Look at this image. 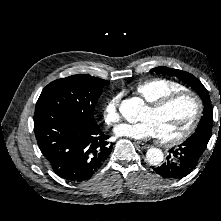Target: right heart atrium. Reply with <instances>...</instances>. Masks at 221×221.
Wrapping results in <instances>:
<instances>
[{"instance_id": "right-heart-atrium-1", "label": "right heart atrium", "mask_w": 221, "mask_h": 221, "mask_svg": "<svg viewBox=\"0 0 221 221\" xmlns=\"http://www.w3.org/2000/svg\"><path fill=\"white\" fill-rule=\"evenodd\" d=\"M120 95L116 94L109 98L103 107V120L107 126H113L120 120L119 115Z\"/></svg>"}]
</instances>
